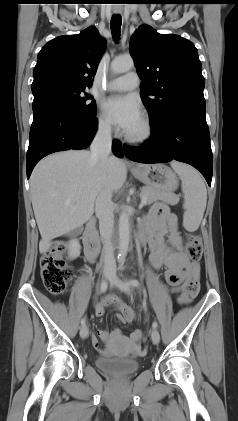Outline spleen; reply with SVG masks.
<instances>
[{
	"label": "spleen",
	"mask_w": 238,
	"mask_h": 421,
	"mask_svg": "<svg viewBox=\"0 0 238 421\" xmlns=\"http://www.w3.org/2000/svg\"><path fill=\"white\" fill-rule=\"evenodd\" d=\"M171 167L178 174L182 182L184 194L183 226L189 232L196 231L202 221L207 203V189L199 174L191 166L172 161Z\"/></svg>",
	"instance_id": "obj_1"
}]
</instances>
